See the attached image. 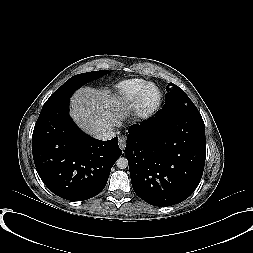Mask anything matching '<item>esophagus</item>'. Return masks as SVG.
<instances>
[{
  "mask_svg": "<svg viewBox=\"0 0 253 253\" xmlns=\"http://www.w3.org/2000/svg\"><path fill=\"white\" fill-rule=\"evenodd\" d=\"M118 144H119V147L122 150L125 149V146H126V137L124 135H122V136L119 137Z\"/></svg>",
  "mask_w": 253,
  "mask_h": 253,
  "instance_id": "obj_1",
  "label": "esophagus"
}]
</instances>
